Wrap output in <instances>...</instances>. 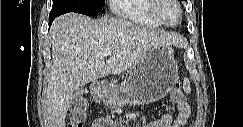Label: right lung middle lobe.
<instances>
[{
    "mask_svg": "<svg viewBox=\"0 0 243 127\" xmlns=\"http://www.w3.org/2000/svg\"><path fill=\"white\" fill-rule=\"evenodd\" d=\"M104 6V0H53L50 16L57 17L67 12L95 16Z\"/></svg>",
    "mask_w": 243,
    "mask_h": 127,
    "instance_id": "dd1d6c3e",
    "label": "right lung middle lobe"
}]
</instances>
